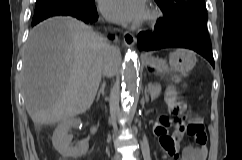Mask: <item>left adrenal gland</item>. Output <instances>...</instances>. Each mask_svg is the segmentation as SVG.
<instances>
[{"mask_svg":"<svg viewBox=\"0 0 242 160\" xmlns=\"http://www.w3.org/2000/svg\"><path fill=\"white\" fill-rule=\"evenodd\" d=\"M145 96H146V100L148 99V95H147V93H145Z\"/></svg>","mask_w":242,"mask_h":160,"instance_id":"left-adrenal-gland-1","label":"left adrenal gland"}]
</instances>
